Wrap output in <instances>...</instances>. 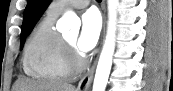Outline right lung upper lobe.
<instances>
[{
  "label": "right lung upper lobe",
  "instance_id": "obj_1",
  "mask_svg": "<svg viewBox=\"0 0 173 91\" xmlns=\"http://www.w3.org/2000/svg\"><path fill=\"white\" fill-rule=\"evenodd\" d=\"M49 3H50V0H38L34 10L32 11V14L26 29V34H29L31 32V30L33 29V27L35 26V24L37 23V21L39 20V18L41 17L43 12L47 8V6L49 5Z\"/></svg>",
  "mask_w": 173,
  "mask_h": 91
}]
</instances>
